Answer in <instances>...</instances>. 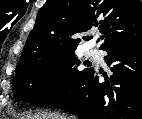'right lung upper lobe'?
I'll use <instances>...</instances> for the list:
<instances>
[{
    "label": "right lung upper lobe",
    "instance_id": "right-lung-upper-lobe-1",
    "mask_svg": "<svg viewBox=\"0 0 142 119\" xmlns=\"http://www.w3.org/2000/svg\"><path fill=\"white\" fill-rule=\"evenodd\" d=\"M99 30L101 50L142 37L139 0H47L40 8L16 71L40 58L75 51L78 34ZM87 37H83L84 40Z\"/></svg>",
    "mask_w": 142,
    "mask_h": 119
}]
</instances>
